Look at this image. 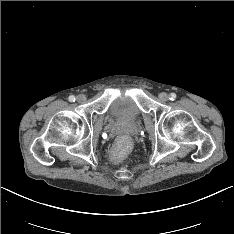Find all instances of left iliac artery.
I'll return each instance as SVG.
<instances>
[{"instance_id":"1","label":"left iliac artery","mask_w":234,"mask_h":234,"mask_svg":"<svg viewBox=\"0 0 234 234\" xmlns=\"http://www.w3.org/2000/svg\"><path fill=\"white\" fill-rule=\"evenodd\" d=\"M169 99L170 100H175L176 99V94L175 93H171Z\"/></svg>"}]
</instances>
